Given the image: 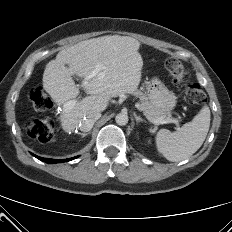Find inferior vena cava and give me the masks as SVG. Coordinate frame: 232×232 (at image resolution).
Returning <instances> with one entry per match:
<instances>
[{
    "instance_id": "obj_1",
    "label": "inferior vena cava",
    "mask_w": 232,
    "mask_h": 232,
    "mask_svg": "<svg viewBox=\"0 0 232 232\" xmlns=\"http://www.w3.org/2000/svg\"><path fill=\"white\" fill-rule=\"evenodd\" d=\"M101 117V113L96 112L89 114L88 116L84 117L82 122L79 125V128L83 132L90 131L94 125V123Z\"/></svg>"
}]
</instances>
